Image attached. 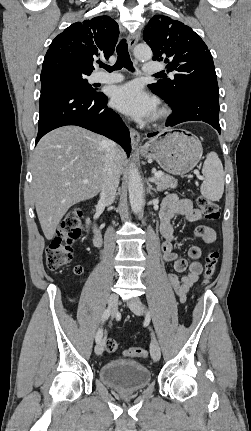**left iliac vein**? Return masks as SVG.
I'll list each match as a JSON object with an SVG mask.
<instances>
[{
	"mask_svg": "<svg viewBox=\"0 0 251 431\" xmlns=\"http://www.w3.org/2000/svg\"><path fill=\"white\" fill-rule=\"evenodd\" d=\"M127 304H128V307L130 308V310L134 314H136L138 316L143 315L144 309H143L142 302L139 298H133V299L129 300L127 302ZM150 353H151V357L154 361H158L160 359V356H161L160 347L158 345L157 339H156L153 331H152V340H151V345H150Z\"/></svg>",
	"mask_w": 251,
	"mask_h": 431,
	"instance_id": "left-iliac-vein-1",
	"label": "left iliac vein"
}]
</instances>
